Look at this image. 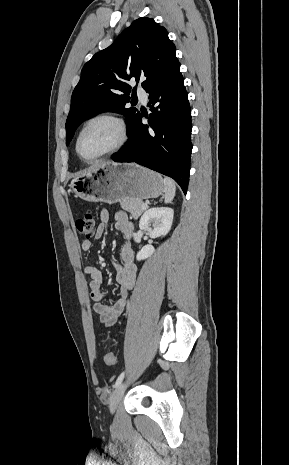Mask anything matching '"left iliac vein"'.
<instances>
[{
  "label": "left iliac vein",
  "mask_w": 289,
  "mask_h": 465,
  "mask_svg": "<svg viewBox=\"0 0 289 465\" xmlns=\"http://www.w3.org/2000/svg\"><path fill=\"white\" fill-rule=\"evenodd\" d=\"M126 386H127V381H124L123 383H121L115 390L114 392L112 393L111 397H110V412L111 413H114L124 395V392L126 390Z\"/></svg>",
  "instance_id": "1"
}]
</instances>
